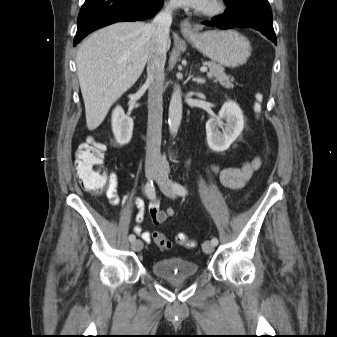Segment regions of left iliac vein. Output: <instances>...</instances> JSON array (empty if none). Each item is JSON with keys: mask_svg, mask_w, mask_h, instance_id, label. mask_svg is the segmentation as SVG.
Instances as JSON below:
<instances>
[{"mask_svg": "<svg viewBox=\"0 0 337 337\" xmlns=\"http://www.w3.org/2000/svg\"><path fill=\"white\" fill-rule=\"evenodd\" d=\"M156 182L159 185L161 191L168 197L174 198L175 193L173 191L172 183L168 178L166 167L160 169L156 176ZM203 251L206 254H210L214 251V245L211 241L207 240L203 243Z\"/></svg>", "mask_w": 337, "mask_h": 337, "instance_id": "4c4485c4", "label": "left iliac vein"}]
</instances>
